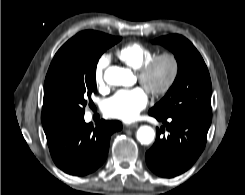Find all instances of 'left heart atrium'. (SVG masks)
<instances>
[{"label":"left heart atrium","mask_w":245,"mask_h":195,"mask_svg":"<svg viewBox=\"0 0 245 195\" xmlns=\"http://www.w3.org/2000/svg\"><path fill=\"white\" fill-rule=\"evenodd\" d=\"M147 103L148 95L143 88L123 89L104 101L103 111L108 117L132 122L138 118Z\"/></svg>","instance_id":"obj_1"}]
</instances>
